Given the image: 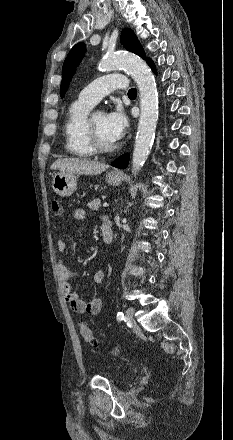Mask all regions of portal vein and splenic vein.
<instances>
[{
  "mask_svg": "<svg viewBox=\"0 0 233 440\" xmlns=\"http://www.w3.org/2000/svg\"><path fill=\"white\" fill-rule=\"evenodd\" d=\"M108 206H109V204L106 202L103 204V207H108Z\"/></svg>",
  "mask_w": 233,
  "mask_h": 440,
  "instance_id": "1",
  "label": "portal vein and splenic vein"
}]
</instances>
